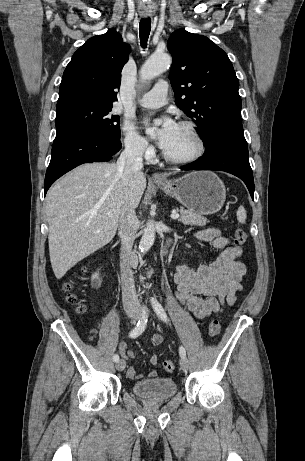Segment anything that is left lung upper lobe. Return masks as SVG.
I'll return each instance as SVG.
<instances>
[{
    "label": "left lung upper lobe",
    "instance_id": "obj_1",
    "mask_svg": "<svg viewBox=\"0 0 305 461\" xmlns=\"http://www.w3.org/2000/svg\"><path fill=\"white\" fill-rule=\"evenodd\" d=\"M176 105L197 125L203 142L221 122L241 119L239 81L227 54L205 36L184 29L167 43Z\"/></svg>",
    "mask_w": 305,
    "mask_h": 461
}]
</instances>
